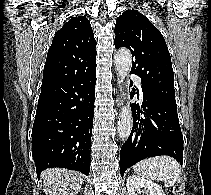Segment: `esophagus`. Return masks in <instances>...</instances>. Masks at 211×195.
<instances>
[{"label": "esophagus", "instance_id": "obj_1", "mask_svg": "<svg viewBox=\"0 0 211 195\" xmlns=\"http://www.w3.org/2000/svg\"><path fill=\"white\" fill-rule=\"evenodd\" d=\"M116 104H117V107H119V108L122 106V99H121L120 94L117 96Z\"/></svg>", "mask_w": 211, "mask_h": 195}]
</instances>
